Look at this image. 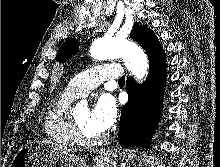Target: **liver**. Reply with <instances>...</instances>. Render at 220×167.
<instances>
[{"label":"liver","mask_w":220,"mask_h":167,"mask_svg":"<svg viewBox=\"0 0 220 167\" xmlns=\"http://www.w3.org/2000/svg\"><path fill=\"white\" fill-rule=\"evenodd\" d=\"M36 143L38 144H43V145H47L49 147H53L55 148V150L61 152L62 154L66 155V154H70V153H73L75 150L74 149H70V148H67V147H59V146H54L53 142L52 141H49L47 139H43L41 141H36Z\"/></svg>","instance_id":"6515ba94"}]
</instances>
